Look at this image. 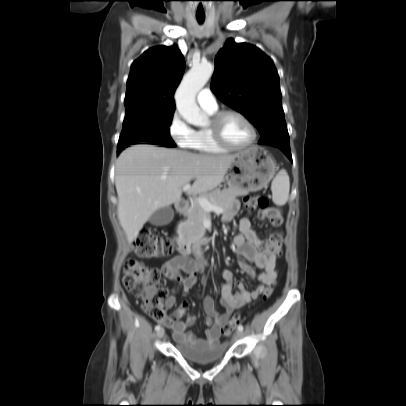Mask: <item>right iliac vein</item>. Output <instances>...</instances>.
Segmentation results:
<instances>
[{"instance_id": "obj_1", "label": "right iliac vein", "mask_w": 406, "mask_h": 406, "mask_svg": "<svg viewBox=\"0 0 406 406\" xmlns=\"http://www.w3.org/2000/svg\"><path fill=\"white\" fill-rule=\"evenodd\" d=\"M164 333H165L164 329L161 328L159 331H157V337L162 338L164 336Z\"/></svg>"}]
</instances>
